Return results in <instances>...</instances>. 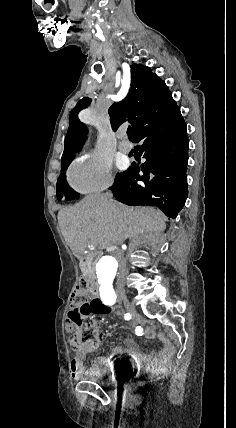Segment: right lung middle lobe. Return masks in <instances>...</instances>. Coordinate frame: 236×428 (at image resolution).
Listing matches in <instances>:
<instances>
[{
    "mask_svg": "<svg viewBox=\"0 0 236 428\" xmlns=\"http://www.w3.org/2000/svg\"><path fill=\"white\" fill-rule=\"evenodd\" d=\"M67 168L61 170L62 172L66 171ZM66 197V200L78 199L79 194L76 193L73 189L70 188L66 181V176L62 174L57 181V198L61 200L62 197Z\"/></svg>",
    "mask_w": 236,
    "mask_h": 428,
    "instance_id": "right-lung-middle-lobe-1",
    "label": "right lung middle lobe"
}]
</instances>
